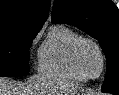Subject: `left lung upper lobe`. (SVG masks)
Segmentation results:
<instances>
[{
  "mask_svg": "<svg viewBox=\"0 0 119 95\" xmlns=\"http://www.w3.org/2000/svg\"><path fill=\"white\" fill-rule=\"evenodd\" d=\"M53 23L77 26L98 40L107 59L102 91H119V10L111 0H54Z\"/></svg>",
  "mask_w": 119,
  "mask_h": 95,
  "instance_id": "left-lung-upper-lobe-1",
  "label": "left lung upper lobe"
}]
</instances>
